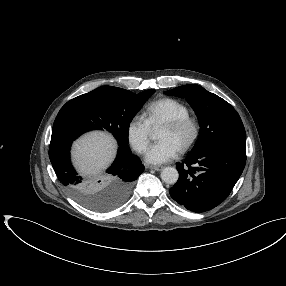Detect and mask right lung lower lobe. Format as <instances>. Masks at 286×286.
Here are the masks:
<instances>
[{"label": "right lung lower lobe", "instance_id": "1", "mask_svg": "<svg viewBox=\"0 0 286 286\" xmlns=\"http://www.w3.org/2000/svg\"><path fill=\"white\" fill-rule=\"evenodd\" d=\"M77 137L66 128L58 124L53 125L49 158L58 180L65 189L77 200L100 188H103V194L111 195L120 186L126 188L129 196L133 181L144 171V166L140 159L131 154L129 147H119L117 157L113 164L106 170L103 179L86 181L77 174L70 161V146L72 141ZM124 201L110 209L119 206Z\"/></svg>", "mask_w": 286, "mask_h": 286}]
</instances>
